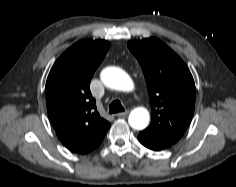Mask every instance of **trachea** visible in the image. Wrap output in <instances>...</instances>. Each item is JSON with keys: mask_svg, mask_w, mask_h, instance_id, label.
I'll list each match as a JSON object with an SVG mask.
<instances>
[{"mask_svg": "<svg viewBox=\"0 0 236 187\" xmlns=\"http://www.w3.org/2000/svg\"><path fill=\"white\" fill-rule=\"evenodd\" d=\"M123 111H124V107L122 106V104L119 100H114L109 105V113L110 114L123 112Z\"/></svg>", "mask_w": 236, "mask_h": 187, "instance_id": "obj_1", "label": "trachea"}]
</instances>
